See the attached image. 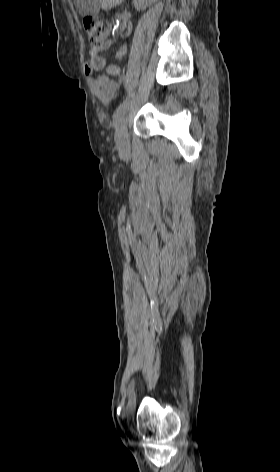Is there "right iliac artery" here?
I'll use <instances>...</instances> for the list:
<instances>
[{"mask_svg": "<svg viewBox=\"0 0 280 472\" xmlns=\"http://www.w3.org/2000/svg\"><path fill=\"white\" fill-rule=\"evenodd\" d=\"M122 80L124 81V76H122ZM128 106V100L125 99L120 105L119 107L117 108L116 112L114 113V116H113V123H114V127L117 129V126L121 120V118L123 117L125 111H126V108Z\"/></svg>", "mask_w": 280, "mask_h": 472, "instance_id": "obj_1", "label": "right iliac artery"}]
</instances>
